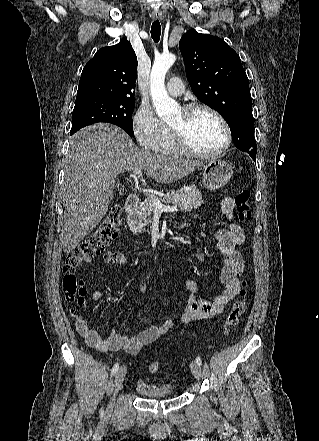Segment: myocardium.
Masks as SVG:
<instances>
[{"label":"myocardium","mask_w":319,"mask_h":441,"mask_svg":"<svg viewBox=\"0 0 319 441\" xmlns=\"http://www.w3.org/2000/svg\"><path fill=\"white\" fill-rule=\"evenodd\" d=\"M181 111L183 113V123L179 126H172V125L168 126L173 140V144L179 153L196 158H212L221 155L229 148L232 141L231 129L227 120L216 109L205 104H190L184 106ZM199 111H205L213 115L221 123L224 129L225 142L219 149L215 151H211V152L198 151L194 149L192 146H190V144L186 140L185 126L190 120V118Z\"/></svg>","instance_id":"myocardium-1"}]
</instances>
